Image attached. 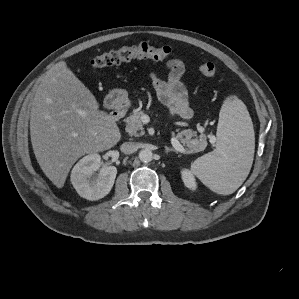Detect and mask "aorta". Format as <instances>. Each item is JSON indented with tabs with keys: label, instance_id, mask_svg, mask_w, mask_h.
Returning <instances> with one entry per match:
<instances>
[{
	"label": "aorta",
	"instance_id": "obj_1",
	"mask_svg": "<svg viewBox=\"0 0 299 299\" xmlns=\"http://www.w3.org/2000/svg\"><path fill=\"white\" fill-rule=\"evenodd\" d=\"M139 159L144 162L148 163L153 159V153L149 149H143L139 152Z\"/></svg>",
	"mask_w": 299,
	"mask_h": 299
}]
</instances>
